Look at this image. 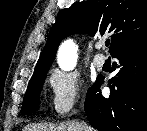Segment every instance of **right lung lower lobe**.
<instances>
[{
    "label": "right lung lower lobe",
    "mask_w": 147,
    "mask_h": 131,
    "mask_svg": "<svg viewBox=\"0 0 147 131\" xmlns=\"http://www.w3.org/2000/svg\"><path fill=\"white\" fill-rule=\"evenodd\" d=\"M111 55L118 73L108 82L110 96L101 95L98 77L86 96L88 120L99 131H147V34Z\"/></svg>",
    "instance_id": "1"
}]
</instances>
